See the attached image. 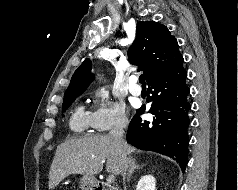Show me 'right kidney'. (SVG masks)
I'll use <instances>...</instances> for the list:
<instances>
[{
	"label": "right kidney",
	"mask_w": 238,
	"mask_h": 190,
	"mask_svg": "<svg viewBox=\"0 0 238 190\" xmlns=\"http://www.w3.org/2000/svg\"><path fill=\"white\" fill-rule=\"evenodd\" d=\"M136 190H156V180L152 175L143 176L138 184Z\"/></svg>",
	"instance_id": "ca27d5eb"
}]
</instances>
